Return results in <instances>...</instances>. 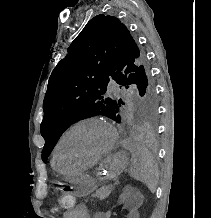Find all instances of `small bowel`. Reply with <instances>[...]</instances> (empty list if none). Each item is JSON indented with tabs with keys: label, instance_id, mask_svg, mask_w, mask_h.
Returning <instances> with one entry per match:
<instances>
[{
	"label": "small bowel",
	"instance_id": "1",
	"mask_svg": "<svg viewBox=\"0 0 211 218\" xmlns=\"http://www.w3.org/2000/svg\"><path fill=\"white\" fill-rule=\"evenodd\" d=\"M125 215L124 218H139V212L135 208H131L129 206H124ZM112 215L111 211H100L95 213L93 218H110ZM71 218H90L89 211L85 205H79L77 206L71 213Z\"/></svg>",
	"mask_w": 211,
	"mask_h": 218
}]
</instances>
